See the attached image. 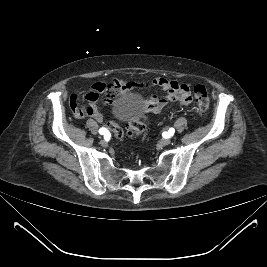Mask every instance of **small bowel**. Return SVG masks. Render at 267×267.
<instances>
[{"mask_svg":"<svg viewBox=\"0 0 267 267\" xmlns=\"http://www.w3.org/2000/svg\"><path fill=\"white\" fill-rule=\"evenodd\" d=\"M149 87H159L165 90L167 95L164 97L152 95L150 98L143 101V107L147 112L160 114L169 106L171 102H177L182 106H188L191 103V92L187 84L165 78H153L143 81H125L114 79L110 84L96 82L91 86V91L84 96L85 100L87 101V105L79 106L76 95L71 96L70 104L77 118H81L84 115H89L97 121H101L102 115L96 107V103L100 94H106V98L103 100V102L110 105L113 103V98L118 93H128L135 89Z\"/></svg>","mask_w":267,"mask_h":267,"instance_id":"c3829d8e","label":"small bowel"}]
</instances>
